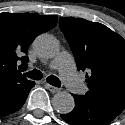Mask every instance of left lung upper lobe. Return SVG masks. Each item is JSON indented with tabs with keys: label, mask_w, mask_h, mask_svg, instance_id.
Listing matches in <instances>:
<instances>
[{
	"label": "left lung upper lobe",
	"mask_w": 125,
	"mask_h": 125,
	"mask_svg": "<svg viewBox=\"0 0 125 125\" xmlns=\"http://www.w3.org/2000/svg\"><path fill=\"white\" fill-rule=\"evenodd\" d=\"M59 26L78 70L88 71L85 96L125 101V40L105 25L81 18H60Z\"/></svg>",
	"instance_id": "obj_1"
}]
</instances>
